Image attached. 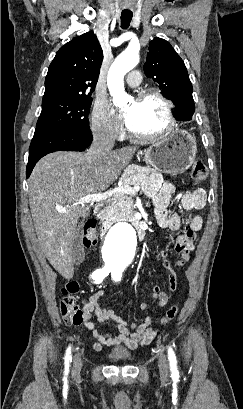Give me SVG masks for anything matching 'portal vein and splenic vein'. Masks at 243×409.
Listing matches in <instances>:
<instances>
[{
    "instance_id": "obj_1",
    "label": "portal vein and splenic vein",
    "mask_w": 243,
    "mask_h": 409,
    "mask_svg": "<svg viewBox=\"0 0 243 409\" xmlns=\"http://www.w3.org/2000/svg\"><path fill=\"white\" fill-rule=\"evenodd\" d=\"M140 190L139 185H135L134 187H130L128 185H124L121 187H117L113 190L106 191L103 193H97V194H89L84 196L83 198L79 199L75 205H84L86 203H94V202H100L103 200H106L116 194L119 193H125V194H135ZM60 212H66V209H60Z\"/></svg>"
}]
</instances>
